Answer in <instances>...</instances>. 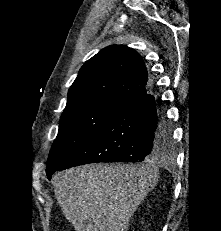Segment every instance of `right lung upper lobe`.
I'll return each instance as SVG.
<instances>
[{
	"label": "right lung upper lobe",
	"instance_id": "cb5924a9",
	"mask_svg": "<svg viewBox=\"0 0 221 231\" xmlns=\"http://www.w3.org/2000/svg\"><path fill=\"white\" fill-rule=\"evenodd\" d=\"M151 90L153 81L140 54L124 45H111L81 67L68 91L66 107L96 96L132 101Z\"/></svg>",
	"mask_w": 221,
	"mask_h": 231
}]
</instances>
